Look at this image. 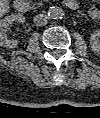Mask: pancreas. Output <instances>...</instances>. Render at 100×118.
Instances as JSON below:
<instances>
[{
    "mask_svg": "<svg viewBox=\"0 0 100 118\" xmlns=\"http://www.w3.org/2000/svg\"><path fill=\"white\" fill-rule=\"evenodd\" d=\"M42 1L45 2V1H48V0H42ZM41 5H42V2L36 3L34 5V9L37 8V7H39V6H41Z\"/></svg>",
    "mask_w": 100,
    "mask_h": 118,
    "instance_id": "1",
    "label": "pancreas"
}]
</instances>
